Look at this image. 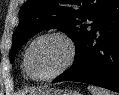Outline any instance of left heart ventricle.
Returning <instances> with one entry per match:
<instances>
[{"label":"left heart ventricle","mask_w":119,"mask_h":95,"mask_svg":"<svg viewBox=\"0 0 119 95\" xmlns=\"http://www.w3.org/2000/svg\"><path fill=\"white\" fill-rule=\"evenodd\" d=\"M68 56L65 42L51 37L38 41L29 54V65L37 76H48L57 71Z\"/></svg>","instance_id":"b2bd125f"}]
</instances>
